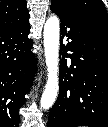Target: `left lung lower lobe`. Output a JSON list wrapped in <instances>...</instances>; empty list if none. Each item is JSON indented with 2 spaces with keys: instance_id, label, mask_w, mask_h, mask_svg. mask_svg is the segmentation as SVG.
<instances>
[{
  "instance_id": "0a47b994",
  "label": "left lung lower lobe",
  "mask_w": 108,
  "mask_h": 127,
  "mask_svg": "<svg viewBox=\"0 0 108 127\" xmlns=\"http://www.w3.org/2000/svg\"><path fill=\"white\" fill-rule=\"evenodd\" d=\"M51 10L61 20V63L48 127H108V25L65 1H52Z\"/></svg>"
}]
</instances>
